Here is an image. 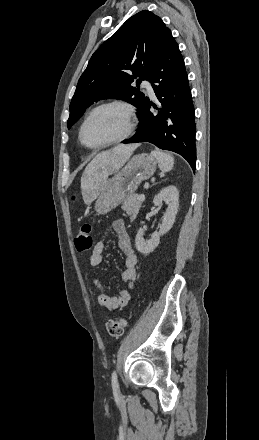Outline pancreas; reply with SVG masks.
I'll list each match as a JSON object with an SVG mask.
<instances>
[{
  "label": "pancreas",
  "mask_w": 259,
  "mask_h": 440,
  "mask_svg": "<svg viewBox=\"0 0 259 440\" xmlns=\"http://www.w3.org/2000/svg\"><path fill=\"white\" fill-rule=\"evenodd\" d=\"M142 205V201L138 200V195L133 194L126 198L123 202L122 209L131 217L135 218Z\"/></svg>",
  "instance_id": "1"
}]
</instances>
